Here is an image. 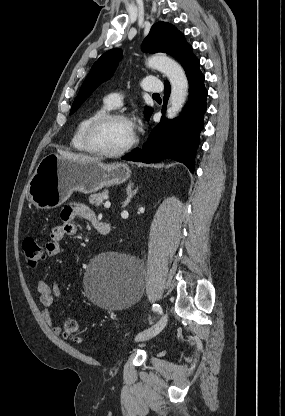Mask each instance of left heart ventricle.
I'll return each instance as SVG.
<instances>
[{
  "label": "left heart ventricle",
  "mask_w": 285,
  "mask_h": 416,
  "mask_svg": "<svg viewBox=\"0 0 285 416\" xmlns=\"http://www.w3.org/2000/svg\"><path fill=\"white\" fill-rule=\"evenodd\" d=\"M131 136L129 124L121 120L106 122L95 133L97 143L107 150L123 148Z\"/></svg>",
  "instance_id": "1"
}]
</instances>
